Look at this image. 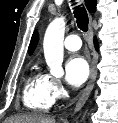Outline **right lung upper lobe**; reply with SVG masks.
I'll return each instance as SVG.
<instances>
[{
  "mask_svg": "<svg viewBox=\"0 0 118 123\" xmlns=\"http://www.w3.org/2000/svg\"><path fill=\"white\" fill-rule=\"evenodd\" d=\"M85 4L90 12H95L96 4H97L96 0H85ZM38 40H39L38 34L35 31V33L33 34L32 38H31V42H30V45L28 48L29 54H32V52L34 51V49L38 43Z\"/></svg>",
  "mask_w": 118,
  "mask_h": 123,
  "instance_id": "1",
  "label": "right lung upper lobe"
}]
</instances>
